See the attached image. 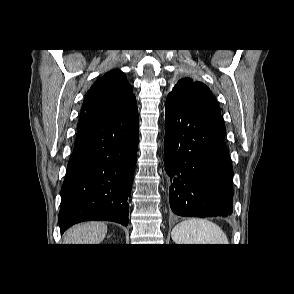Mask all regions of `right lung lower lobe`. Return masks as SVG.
Returning <instances> with one entry per match:
<instances>
[{"instance_id":"obj_1","label":"right lung lower lobe","mask_w":294,"mask_h":294,"mask_svg":"<svg viewBox=\"0 0 294 294\" xmlns=\"http://www.w3.org/2000/svg\"><path fill=\"white\" fill-rule=\"evenodd\" d=\"M138 132L136 99L112 114L80 119L61 189V234L88 220L128 225Z\"/></svg>"}]
</instances>
